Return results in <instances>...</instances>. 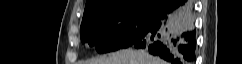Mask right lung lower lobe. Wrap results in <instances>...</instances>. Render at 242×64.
<instances>
[{
	"mask_svg": "<svg viewBox=\"0 0 242 64\" xmlns=\"http://www.w3.org/2000/svg\"><path fill=\"white\" fill-rule=\"evenodd\" d=\"M130 46L170 64H194L196 34L190 0H164L154 24Z\"/></svg>",
	"mask_w": 242,
	"mask_h": 64,
	"instance_id": "right-lung-lower-lobe-1",
	"label": "right lung lower lobe"
}]
</instances>
